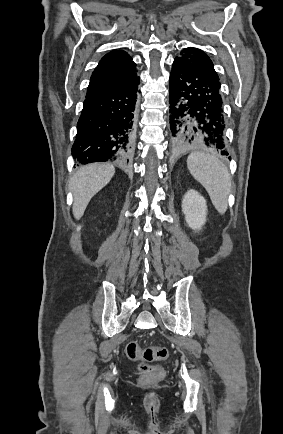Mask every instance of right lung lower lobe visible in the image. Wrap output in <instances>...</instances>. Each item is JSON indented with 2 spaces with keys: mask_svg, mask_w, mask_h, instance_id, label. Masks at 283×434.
<instances>
[{
  "mask_svg": "<svg viewBox=\"0 0 283 434\" xmlns=\"http://www.w3.org/2000/svg\"><path fill=\"white\" fill-rule=\"evenodd\" d=\"M139 80L136 76L118 89L86 97L72 147L78 162L128 161Z\"/></svg>",
  "mask_w": 283,
  "mask_h": 434,
  "instance_id": "right-lung-lower-lobe-1",
  "label": "right lung lower lobe"
}]
</instances>
